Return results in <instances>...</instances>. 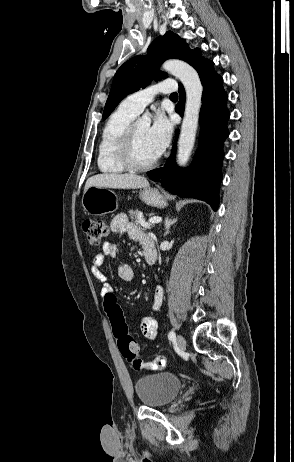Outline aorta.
<instances>
[{
    "instance_id": "obj_1",
    "label": "aorta",
    "mask_w": 294,
    "mask_h": 462,
    "mask_svg": "<svg viewBox=\"0 0 294 462\" xmlns=\"http://www.w3.org/2000/svg\"><path fill=\"white\" fill-rule=\"evenodd\" d=\"M165 71L172 73L184 85L186 91V104L182 121L179 141L177 162L185 166L191 156L199 121V113L202 105L203 87L196 70L180 60H168L162 65Z\"/></svg>"
}]
</instances>
